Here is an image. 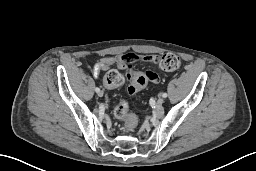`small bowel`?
I'll return each mask as SVG.
<instances>
[{
    "mask_svg": "<svg viewBox=\"0 0 256 171\" xmlns=\"http://www.w3.org/2000/svg\"><path fill=\"white\" fill-rule=\"evenodd\" d=\"M158 60L157 55L147 54H134V53H124L115 57H106L104 58L99 65H97L94 69V75L97 77L99 75L100 70H107L111 66H117L118 68H124L125 64L133 61H141L146 63H156ZM147 81L152 83H159L160 77L154 71H147L144 73ZM104 83L107 87H112L106 83L104 78Z\"/></svg>",
    "mask_w": 256,
    "mask_h": 171,
    "instance_id": "c3829d8e",
    "label": "small bowel"
}]
</instances>
